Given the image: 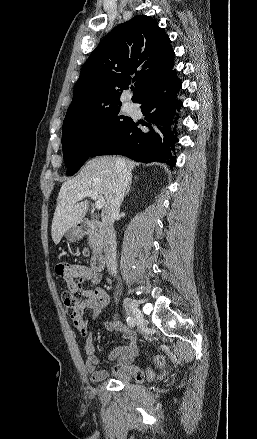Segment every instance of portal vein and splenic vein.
Here are the masks:
<instances>
[{
	"label": "portal vein and splenic vein",
	"mask_w": 257,
	"mask_h": 439,
	"mask_svg": "<svg viewBox=\"0 0 257 439\" xmlns=\"http://www.w3.org/2000/svg\"><path fill=\"white\" fill-rule=\"evenodd\" d=\"M85 197H91L93 200H95V207L96 209H102L105 205V199L103 196H99L97 191L90 190V191H84L76 195L75 202L81 201Z\"/></svg>",
	"instance_id": "1"
}]
</instances>
